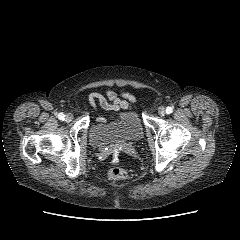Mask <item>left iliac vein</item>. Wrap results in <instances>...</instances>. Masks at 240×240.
Segmentation results:
<instances>
[{
	"label": "left iliac vein",
	"mask_w": 240,
	"mask_h": 240,
	"mask_svg": "<svg viewBox=\"0 0 240 240\" xmlns=\"http://www.w3.org/2000/svg\"><path fill=\"white\" fill-rule=\"evenodd\" d=\"M158 113H159V115L164 116L166 114L165 108L164 107H159L158 108Z\"/></svg>",
	"instance_id": "obj_1"
}]
</instances>
